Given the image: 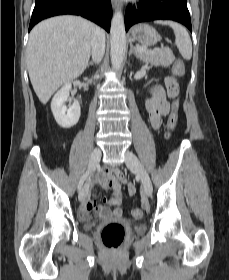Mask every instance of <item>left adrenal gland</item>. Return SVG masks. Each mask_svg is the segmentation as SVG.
I'll use <instances>...</instances> for the list:
<instances>
[{"label": "left adrenal gland", "mask_w": 229, "mask_h": 280, "mask_svg": "<svg viewBox=\"0 0 229 280\" xmlns=\"http://www.w3.org/2000/svg\"><path fill=\"white\" fill-rule=\"evenodd\" d=\"M134 54L136 57H137V53L136 51L134 50V47H133V44L130 43V51H129V56Z\"/></svg>", "instance_id": "left-adrenal-gland-1"}]
</instances>
